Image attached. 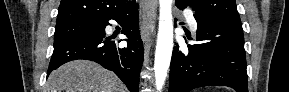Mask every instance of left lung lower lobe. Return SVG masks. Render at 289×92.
Listing matches in <instances>:
<instances>
[{"label": "left lung lower lobe", "mask_w": 289, "mask_h": 92, "mask_svg": "<svg viewBox=\"0 0 289 92\" xmlns=\"http://www.w3.org/2000/svg\"><path fill=\"white\" fill-rule=\"evenodd\" d=\"M175 5L179 9L188 6L182 1H176ZM194 13L199 43L184 50L176 43L170 64L169 92H188L201 86H228L237 92H248L241 25Z\"/></svg>", "instance_id": "left-lung-lower-lobe-1"}]
</instances>
